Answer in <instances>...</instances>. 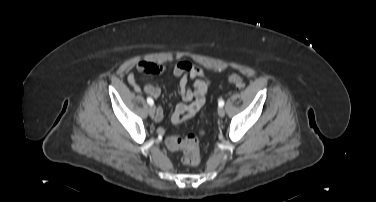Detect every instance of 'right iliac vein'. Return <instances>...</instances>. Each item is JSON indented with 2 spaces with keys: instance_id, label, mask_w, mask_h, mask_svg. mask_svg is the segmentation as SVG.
I'll list each match as a JSON object with an SVG mask.
<instances>
[{
  "instance_id": "obj_1",
  "label": "right iliac vein",
  "mask_w": 376,
  "mask_h": 202,
  "mask_svg": "<svg viewBox=\"0 0 376 202\" xmlns=\"http://www.w3.org/2000/svg\"><path fill=\"white\" fill-rule=\"evenodd\" d=\"M148 112H149V115L151 117H154V114H155V107L153 105H150L149 109H148Z\"/></svg>"
}]
</instances>
